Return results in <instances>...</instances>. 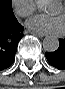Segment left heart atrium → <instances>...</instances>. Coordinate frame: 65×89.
Segmentation results:
<instances>
[{"label": "left heart atrium", "mask_w": 65, "mask_h": 89, "mask_svg": "<svg viewBox=\"0 0 65 89\" xmlns=\"http://www.w3.org/2000/svg\"><path fill=\"white\" fill-rule=\"evenodd\" d=\"M26 27L39 34H61L65 29V22L61 15L38 14L27 20Z\"/></svg>", "instance_id": "left-heart-atrium-1"}]
</instances>
